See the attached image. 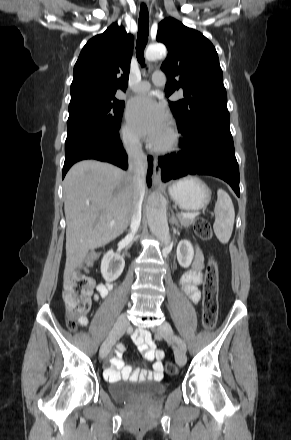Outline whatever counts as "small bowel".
Listing matches in <instances>:
<instances>
[{
	"label": "small bowel",
	"instance_id": "c3829d8e",
	"mask_svg": "<svg viewBox=\"0 0 291 440\" xmlns=\"http://www.w3.org/2000/svg\"><path fill=\"white\" fill-rule=\"evenodd\" d=\"M204 268V257L201 250L196 247L193 266L181 278V286L190 300L197 303L201 299V291L199 289L202 283V270ZM112 285L100 284L97 286L96 297H106L111 290ZM79 323L83 326L87 325L88 319L86 317L79 318ZM132 339L139 346V350L143 354L145 362H153V371H139L130 365H125L122 360L121 353H117L110 358V366L105 370V378L109 380H117L119 378L130 380H152L161 377L164 366L162 363L163 355L156 349L154 341L151 339L147 331H139L132 335Z\"/></svg>",
	"mask_w": 291,
	"mask_h": 440
}]
</instances>
